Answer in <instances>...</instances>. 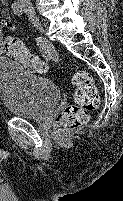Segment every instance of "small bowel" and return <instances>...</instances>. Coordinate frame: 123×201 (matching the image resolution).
<instances>
[{"label": "small bowel", "instance_id": "obj_1", "mask_svg": "<svg viewBox=\"0 0 123 201\" xmlns=\"http://www.w3.org/2000/svg\"><path fill=\"white\" fill-rule=\"evenodd\" d=\"M4 29H8L9 31L13 32L16 29L15 24L9 18H5L0 22V55L4 52L3 49V40H4Z\"/></svg>", "mask_w": 123, "mask_h": 201}]
</instances>
